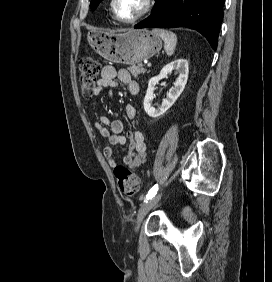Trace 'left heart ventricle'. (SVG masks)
<instances>
[{
    "label": "left heart ventricle",
    "mask_w": 272,
    "mask_h": 282,
    "mask_svg": "<svg viewBox=\"0 0 272 282\" xmlns=\"http://www.w3.org/2000/svg\"><path fill=\"white\" fill-rule=\"evenodd\" d=\"M146 0H117L115 8L123 19H130L139 14L145 7Z\"/></svg>",
    "instance_id": "left-heart-ventricle-1"
}]
</instances>
